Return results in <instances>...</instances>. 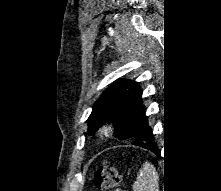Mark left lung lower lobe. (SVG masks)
Here are the masks:
<instances>
[{
	"mask_svg": "<svg viewBox=\"0 0 221 191\" xmlns=\"http://www.w3.org/2000/svg\"><path fill=\"white\" fill-rule=\"evenodd\" d=\"M142 91L139 89V86L136 82L133 84V93L131 96V114L134 118V123H136V130L141 132L142 137L148 138L147 140L153 139L154 135L152 133V129L148 124L147 116L145 115V109L142 105L141 99ZM144 148L154 151L157 153L156 144H149Z\"/></svg>",
	"mask_w": 221,
	"mask_h": 191,
	"instance_id": "0a47b994",
	"label": "left lung lower lobe"
}]
</instances>
